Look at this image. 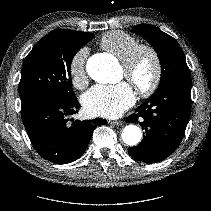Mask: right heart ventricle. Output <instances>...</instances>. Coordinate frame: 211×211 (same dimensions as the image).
Segmentation results:
<instances>
[{"label": "right heart ventricle", "instance_id": "1", "mask_svg": "<svg viewBox=\"0 0 211 211\" xmlns=\"http://www.w3.org/2000/svg\"><path fill=\"white\" fill-rule=\"evenodd\" d=\"M99 44L104 50L122 61L132 49L140 44V41L131 34L115 30L105 33L101 37Z\"/></svg>", "mask_w": 211, "mask_h": 211}]
</instances>
